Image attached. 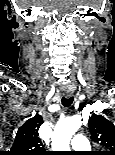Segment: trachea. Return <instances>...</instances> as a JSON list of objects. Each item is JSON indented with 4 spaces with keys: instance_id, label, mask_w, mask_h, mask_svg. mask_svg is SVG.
Returning <instances> with one entry per match:
<instances>
[{
    "instance_id": "3493384b",
    "label": "trachea",
    "mask_w": 115,
    "mask_h": 155,
    "mask_svg": "<svg viewBox=\"0 0 115 155\" xmlns=\"http://www.w3.org/2000/svg\"><path fill=\"white\" fill-rule=\"evenodd\" d=\"M72 102H73V97H68V98L63 97V98H62V105H63L65 108L69 107V106L72 104Z\"/></svg>"
}]
</instances>
